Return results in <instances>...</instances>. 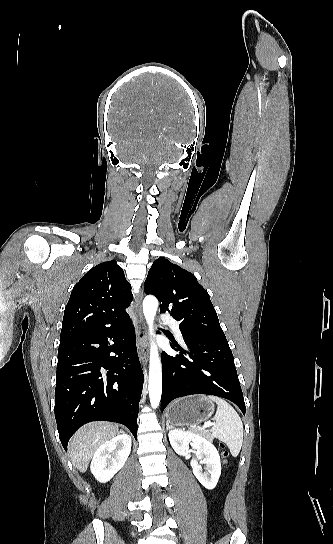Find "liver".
<instances>
[{"instance_id": "liver-1", "label": "liver", "mask_w": 333, "mask_h": 544, "mask_svg": "<svg viewBox=\"0 0 333 544\" xmlns=\"http://www.w3.org/2000/svg\"><path fill=\"white\" fill-rule=\"evenodd\" d=\"M118 434L116 425L106 422L90 423L83 426L72 437L70 457L80 472H85L96 450Z\"/></svg>"}]
</instances>
